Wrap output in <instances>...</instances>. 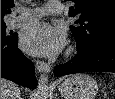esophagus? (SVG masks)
Instances as JSON below:
<instances>
[{
  "mask_svg": "<svg viewBox=\"0 0 115 99\" xmlns=\"http://www.w3.org/2000/svg\"><path fill=\"white\" fill-rule=\"evenodd\" d=\"M36 68L39 72L48 73L50 71L49 65L41 60L36 61Z\"/></svg>",
  "mask_w": 115,
  "mask_h": 99,
  "instance_id": "1",
  "label": "esophagus"
}]
</instances>
